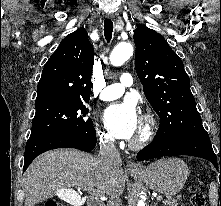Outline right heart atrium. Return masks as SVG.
Here are the masks:
<instances>
[{"label": "right heart atrium", "instance_id": "1", "mask_svg": "<svg viewBox=\"0 0 221 206\" xmlns=\"http://www.w3.org/2000/svg\"><path fill=\"white\" fill-rule=\"evenodd\" d=\"M99 140L104 145H111L113 144V137L106 131L100 130L99 131Z\"/></svg>", "mask_w": 221, "mask_h": 206}]
</instances>
